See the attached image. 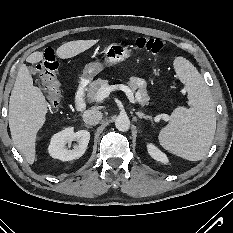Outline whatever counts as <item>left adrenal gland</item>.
Wrapping results in <instances>:
<instances>
[{"mask_svg":"<svg viewBox=\"0 0 233 233\" xmlns=\"http://www.w3.org/2000/svg\"><path fill=\"white\" fill-rule=\"evenodd\" d=\"M136 114H137V116H138L139 119L149 120L151 118L150 116H147V115H145L142 112H136Z\"/></svg>","mask_w":233,"mask_h":233,"instance_id":"obj_1","label":"left adrenal gland"}]
</instances>
